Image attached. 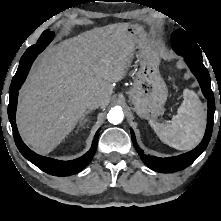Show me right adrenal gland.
Listing matches in <instances>:
<instances>
[{
  "label": "right adrenal gland",
  "mask_w": 221,
  "mask_h": 221,
  "mask_svg": "<svg viewBox=\"0 0 221 221\" xmlns=\"http://www.w3.org/2000/svg\"><path fill=\"white\" fill-rule=\"evenodd\" d=\"M89 113H91V110H87V111L85 112V115H84V117L82 118V120L80 121L79 126H83L86 122L89 121V120L86 118V116H87Z\"/></svg>",
  "instance_id": "2a0ac1e0"
}]
</instances>
